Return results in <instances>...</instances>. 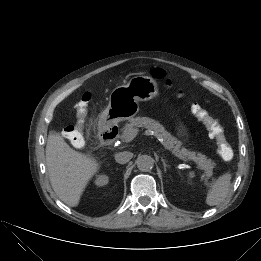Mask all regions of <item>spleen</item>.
<instances>
[{
    "mask_svg": "<svg viewBox=\"0 0 261 261\" xmlns=\"http://www.w3.org/2000/svg\"><path fill=\"white\" fill-rule=\"evenodd\" d=\"M232 175L225 173L211 185L206 196V204L215 206L222 203L228 196Z\"/></svg>",
    "mask_w": 261,
    "mask_h": 261,
    "instance_id": "spleen-1",
    "label": "spleen"
}]
</instances>
